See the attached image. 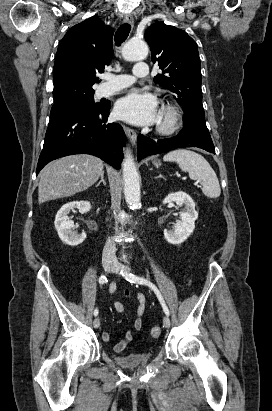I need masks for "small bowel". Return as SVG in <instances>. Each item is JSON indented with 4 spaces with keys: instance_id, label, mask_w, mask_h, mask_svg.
<instances>
[{
    "instance_id": "c3829d8e",
    "label": "small bowel",
    "mask_w": 272,
    "mask_h": 411,
    "mask_svg": "<svg viewBox=\"0 0 272 411\" xmlns=\"http://www.w3.org/2000/svg\"><path fill=\"white\" fill-rule=\"evenodd\" d=\"M116 291V285L112 284L110 287V292L113 294ZM124 295L128 298H132L134 297L137 301V309H136V316L134 319V330L135 331H139L142 328V316L144 314L145 311V296L142 292H137L135 295L129 291V290H125L124 291ZM113 306L115 308V310L118 313H124L125 312V308L123 306V304L117 300H114L113 302ZM110 335L108 333H105L103 335V340L104 341H109L110 340ZM134 338V332L132 330H128L123 338L114 346V350L115 352L119 353L122 352L126 345Z\"/></svg>"
}]
</instances>
